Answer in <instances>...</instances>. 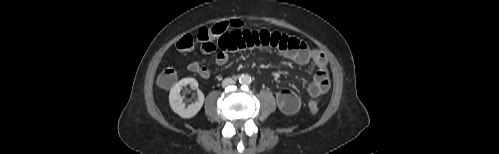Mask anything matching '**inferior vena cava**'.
Returning a JSON list of instances; mask_svg holds the SVG:
<instances>
[{"label":"inferior vena cava","mask_w":499,"mask_h":154,"mask_svg":"<svg viewBox=\"0 0 499 154\" xmlns=\"http://www.w3.org/2000/svg\"><path fill=\"white\" fill-rule=\"evenodd\" d=\"M233 84H235V81L232 78H226L222 82L223 87H227V86L233 85Z\"/></svg>","instance_id":"602c4592"}]
</instances>
